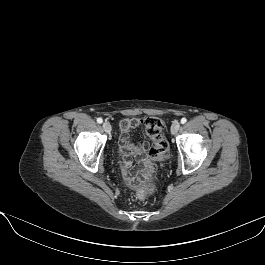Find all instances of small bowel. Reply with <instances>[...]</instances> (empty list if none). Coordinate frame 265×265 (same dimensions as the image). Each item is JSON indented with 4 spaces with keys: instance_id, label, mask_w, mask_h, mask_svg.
<instances>
[{
    "instance_id": "obj_1",
    "label": "small bowel",
    "mask_w": 265,
    "mask_h": 265,
    "mask_svg": "<svg viewBox=\"0 0 265 265\" xmlns=\"http://www.w3.org/2000/svg\"><path fill=\"white\" fill-rule=\"evenodd\" d=\"M143 124L141 119H125L120 125V155L122 157L121 169L127 183L134 181V170L132 169V157L142 156L149 148V143L141 145L133 144L129 139V133L134 128Z\"/></svg>"
}]
</instances>
